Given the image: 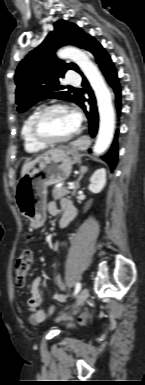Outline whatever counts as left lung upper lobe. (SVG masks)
I'll list each match as a JSON object with an SVG mask.
<instances>
[{
    "label": "left lung upper lobe",
    "instance_id": "5c2ea615",
    "mask_svg": "<svg viewBox=\"0 0 145 385\" xmlns=\"http://www.w3.org/2000/svg\"><path fill=\"white\" fill-rule=\"evenodd\" d=\"M54 31L45 41L32 50L18 65L15 82L18 111H25L40 100L48 98L67 99L79 105L82 97L64 92L59 78L68 69L79 71L74 63H65L55 56V51L64 45L72 44L87 50L92 37L78 26L64 20L54 24Z\"/></svg>",
    "mask_w": 145,
    "mask_h": 385
}]
</instances>
